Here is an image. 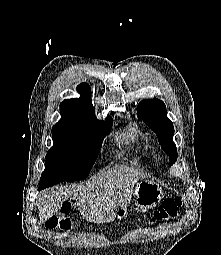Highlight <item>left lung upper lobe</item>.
I'll return each mask as SVG.
<instances>
[{
    "label": "left lung upper lobe",
    "mask_w": 221,
    "mask_h": 255,
    "mask_svg": "<svg viewBox=\"0 0 221 255\" xmlns=\"http://www.w3.org/2000/svg\"><path fill=\"white\" fill-rule=\"evenodd\" d=\"M137 111L138 118L156 133L161 148L169 156L170 165H173L177 159V149L172 139L174 127L167 117L165 104L156 98L145 99L139 103Z\"/></svg>",
    "instance_id": "1"
}]
</instances>
